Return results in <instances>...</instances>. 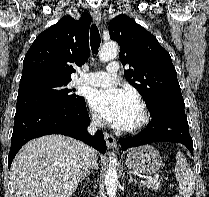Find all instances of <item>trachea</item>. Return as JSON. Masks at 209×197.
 Returning a JSON list of instances; mask_svg holds the SVG:
<instances>
[{"mask_svg": "<svg viewBox=\"0 0 209 197\" xmlns=\"http://www.w3.org/2000/svg\"><path fill=\"white\" fill-rule=\"evenodd\" d=\"M101 43V38H100V33L95 24H92L91 30H90V45H91V50L94 54H97L98 49L100 47Z\"/></svg>", "mask_w": 209, "mask_h": 197, "instance_id": "1", "label": "trachea"}]
</instances>
